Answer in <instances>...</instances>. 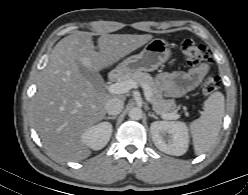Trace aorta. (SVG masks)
<instances>
[{"mask_svg": "<svg viewBox=\"0 0 248 195\" xmlns=\"http://www.w3.org/2000/svg\"><path fill=\"white\" fill-rule=\"evenodd\" d=\"M128 115L132 120H139L142 118V109L139 107H133L129 110Z\"/></svg>", "mask_w": 248, "mask_h": 195, "instance_id": "obj_1", "label": "aorta"}]
</instances>
